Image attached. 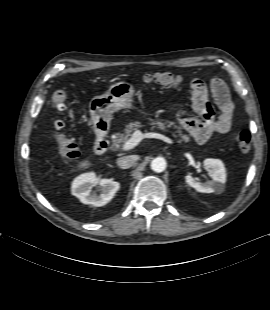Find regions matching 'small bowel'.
<instances>
[{
	"mask_svg": "<svg viewBox=\"0 0 270 310\" xmlns=\"http://www.w3.org/2000/svg\"><path fill=\"white\" fill-rule=\"evenodd\" d=\"M194 115L181 121V126L198 144L206 143L215 134L230 131L233 122L234 103L228 88L220 78H212L208 85L201 79H193L190 83ZM208 88L210 89L219 114L216 118L213 111L208 110Z\"/></svg>",
	"mask_w": 270,
	"mask_h": 310,
	"instance_id": "1",
	"label": "small bowel"
}]
</instances>
